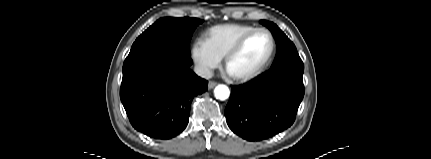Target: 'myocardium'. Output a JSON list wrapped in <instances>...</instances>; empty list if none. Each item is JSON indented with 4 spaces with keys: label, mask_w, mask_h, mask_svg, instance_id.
I'll return each mask as SVG.
<instances>
[{
    "label": "myocardium",
    "mask_w": 431,
    "mask_h": 159,
    "mask_svg": "<svg viewBox=\"0 0 431 159\" xmlns=\"http://www.w3.org/2000/svg\"><path fill=\"white\" fill-rule=\"evenodd\" d=\"M258 33H265L270 37L271 42H272L271 52H270L268 58L266 59V61L255 71L250 72V73L245 74V75H240V76L231 75L232 78L238 82H248V81H251V80L259 77L271 66V64L275 58L276 51H277V42H276V39H275L273 33L266 28H256V29L246 33L245 35H243L237 41V43L229 50V52L226 54V56H225V67H226L227 71H228V66H229L230 62L243 50L247 41L251 37H253L254 35H256Z\"/></svg>",
    "instance_id": "obj_1"
}]
</instances>
